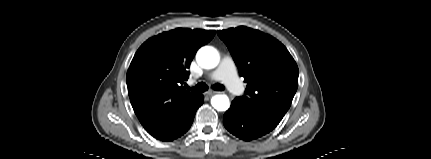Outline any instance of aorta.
<instances>
[{"instance_id":"1","label":"aorta","mask_w":431,"mask_h":159,"mask_svg":"<svg viewBox=\"0 0 431 159\" xmlns=\"http://www.w3.org/2000/svg\"><path fill=\"white\" fill-rule=\"evenodd\" d=\"M197 63L205 69L215 68L220 60L218 51L211 47L205 46L199 49L196 55ZM211 105L217 111H226L230 107L229 98L226 95H215L211 99Z\"/></svg>"}]
</instances>
